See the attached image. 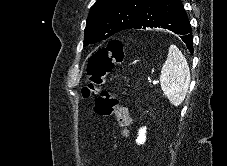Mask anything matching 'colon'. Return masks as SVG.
<instances>
[{
    "label": "colon",
    "instance_id": "5ec220e1",
    "mask_svg": "<svg viewBox=\"0 0 227 166\" xmlns=\"http://www.w3.org/2000/svg\"><path fill=\"white\" fill-rule=\"evenodd\" d=\"M124 60V47L121 41L112 40L104 48L98 49L90 58L88 83L82 89L85 99L95 100V112L99 116H114L122 133L126 135L131 124L128 109L123 106L111 90L100 91L108 74L115 64Z\"/></svg>",
    "mask_w": 227,
    "mask_h": 166
}]
</instances>
